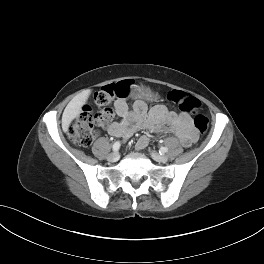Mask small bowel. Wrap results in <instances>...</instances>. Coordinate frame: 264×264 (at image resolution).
I'll return each mask as SVG.
<instances>
[{"instance_id":"c3829d8e","label":"small bowel","mask_w":264,"mask_h":264,"mask_svg":"<svg viewBox=\"0 0 264 264\" xmlns=\"http://www.w3.org/2000/svg\"><path fill=\"white\" fill-rule=\"evenodd\" d=\"M114 107L119 120L112 123L108 131L115 137L126 139L139 129L151 131L167 129L179 138L184 147H190L197 140V133L187 113L169 111L162 105L148 111L146 103L142 100H137L131 110L124 99H117ZM148 142V135L141 136L136 144L137 149H145Z\"/></svg>"}]
</instances>
